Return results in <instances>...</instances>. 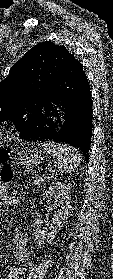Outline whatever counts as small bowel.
Instances as JSON below:
<instances>
[{"label": "small bowel", "instance_id": "obj_1", "mask_svg": "<svg viewBox=\"0 0 113 279\" xmlns=\"http://www.w3.org/2000/svg\"><path fill=\"white\" fill-rule=\"evenodd\" d=\"M19 204L18 199L13 196L7 195L2 189H0V206L12 205L17 206ZM13 245L18 259L31 266V260L27 251L28 238L27 235L21 231H16L13 237ZM26 272V267L18 266L10 268L5 274V279H22V276Z\"/></svg>", "mask_w": 113, "mask_h": 279}]
</instances>
